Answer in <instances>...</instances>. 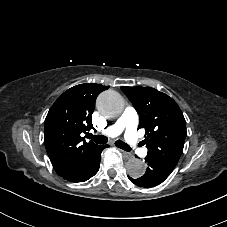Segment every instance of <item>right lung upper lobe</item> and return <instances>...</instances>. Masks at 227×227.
Returning a JSON list of instances; mask_svg holds the SVG:
<instances>
[{"instance_id":"1","label":"right lung upper lobe","mask_w":227,"mask_h":227,"mask_svg":"<svg viewBox=\"0 0 227 227\" xmlns=\"http://www.w3.org/2000/svg\"><path fill=\"white\" fill-rule=\"evenodd\" d=\"M108 86L80 84L65 91L50 108L44 126L45 147L54 169L70 172L97 147L86 142L97 96Z\"/></svg>"}]
</instances>
